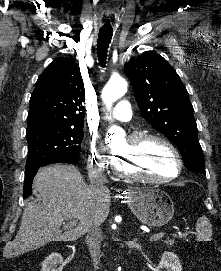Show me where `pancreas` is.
I'll list each match as a JSON object with an SVG mask.
<instances>
[{
	"instance_id": "1",
	"label": "pancreas",
	"mask_w": 221,
	"mask_h": 271,
	"mask_svg": "<svg viewBox=\"0 0 221 271\" xmlns=\"http://www.w3.org/2000/svg\"><path fill=\"white\" fill-rule=\"evenodd\" d=\"M176 243V239H165L163 242V247H175Z\"/></svg>"
}]
</instances>
